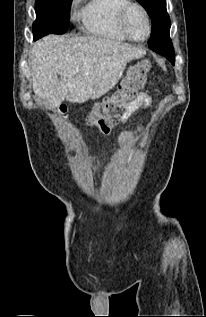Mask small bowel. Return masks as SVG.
Wrapping results in <instances>:
<instances>
[{"instance_id": "obj_1", "label": "small bowel", "mask_w": 206, "mask_h": 317, "mask_svg": "<svg viewBox=\"0 0 206 317\" xmlns=\"http://www.w3.org/2000/svg\"><path fill=\"white\" fill-rule=\"evenodd\" d=\"M151 104V97L146 93L139 94L132 102L127 106L126 112L123 116V122H125L130 115L140 107H148ZM144 129L143 125H140L134 131H124L119 135V145L128 150L131 148L132 140L139 135Z\"/></svg>"}]
</instances>
